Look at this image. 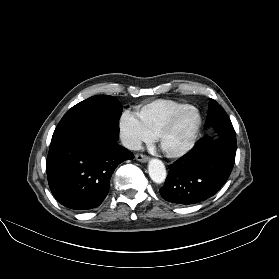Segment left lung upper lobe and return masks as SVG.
I'll list each match as a JSON object with an SVG mask.
<instances>
[{
	"label": "left lung upper lobe",
	"instance_id": "obj_1",
	"mask_svg": "<svg viewBox=\"0 0 279 279\" xmlns=\"http://www.w3.org/2000/svg\"><path fill=\"white\" fill-rule=\"evenodd\" d=\"M207 126L213 127L214 130L218 134H223L224 130H225V128H227V126H229L231 129H233L231 121H230L227 113L213 99H210V102H209L208 117L206 120L205 127H207ZM233 131H234V129H233Z\"/></svg>",
	"mask_w": 279,
	"mask_h": 279
}]
</instances>
